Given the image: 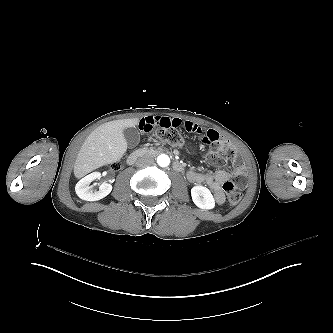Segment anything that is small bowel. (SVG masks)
I'll return each mask as SVG.
<instances>
[{
    "instance_id": "1",
    "label": "small bowel",
    "mask_w": 333,
    "mask_h": 333,
    "mask_svg": "<svg viewBox=\"0 0 333 333\" xmlns=\"http://www.w3.org/2000/svg\"><path fill=\"white\" fill-rule=\"evenodd\" d=\"M181 124V121L178 118H167V117H146L140 120L139 126L140 128L147 132L150 131L152 128L159 126V127H178ZM185 128L189 131L197 130V126L191 122L186 121L184 123ZM206 135L212 140L213 138L221 139L222 137L218 135V133L212 129L208 130ZM233 143L232 142H216L215 144L211 145V152L212 153H220L221 151H232L233 150ZM233 161L241 162L242 161V154L241 153H234L233 154ZM210 164L211 165H219L220 164V157L219 156H211L210 157ZM236 174V169L234 175ZM187 179L193 183H202L205 184L212 192L215 202L217 204H223L225 201V190L224 185L226 182L230 181L229 174L225 170H217L215 172H196V171H188L187 172Z\"/></svg>"
}]
</instances>
